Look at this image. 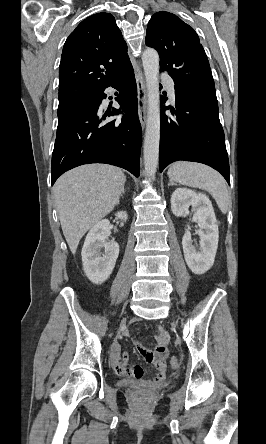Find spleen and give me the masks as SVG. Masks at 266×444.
Returning <instances> with one entry per match:
<instances>
[{"label": "spleen", "instance_id": "spleen-1", "mask_svg": "<svg viewBox=\"0 0 266 444\" xmlns=\"http://www.w3.org/2000/svg\"><path fill=\"white\" fill-rule=\"evenodd\" d=\"M172 181L205 190L215 199L222 213H226L230 202L224 178L212 168L194 162L173 163L167 172Z\"/></svg>", "mask_w": 266, "mask_h": 444}]
</instances>
